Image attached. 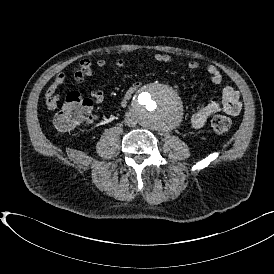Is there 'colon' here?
<instances>
[{
  "label": "colon",
  "instance_id": "obj_1",
  "mask_svg": "<svg viewBox=\"0 0 274 274\" xmlns=\"http://www.w3.org/2000/svg\"><path fill=\"white\" fill-rule=\"evenodd\" d=\"M60 100L49 109H55ZM93 120V105L90 100L73 92L67 94L62 109L54 118L53 125L59 131H69L75 124L89 123ZM231 128V121L227 116L215 115L210 121V131L215 135H224Z\"/></svg>",
  "mask_w": 274,
  "mask_h": 274
}]
</instances>
